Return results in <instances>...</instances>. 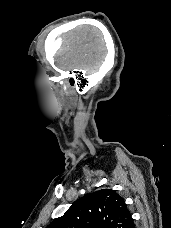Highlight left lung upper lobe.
<instances>
[{"label":"left lung upper lobe","mask_w":171,"mask_h":228,"mask_svg":"<svg viewBox=\"0 0 171 228\" xmlns=\"http://www.w3.org/2000/svg\"><path fill=\"white\" fill-rule=\"evenodd\" d=\"M130 218L124 199L114 190L102 189L75 201L47 228H124Z\"/></svg>","instance_id":"5c2ea615"}]
</instances>
